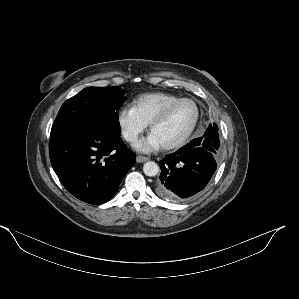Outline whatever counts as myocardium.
<instances>
[{"label": "myocardium", "instance_id": "f54148a6", "mask_svg": "<svg viewBox=\"0 0 299 299\" xmlns=\"http://www.w3.org/2000/svg\"><path fill=\"white\" fill-rule=\"evenodd\" d=\"M182 102H191L196 110L195 113V117L193 120L192 125L190 126V128L176 141L169 143L167 145L162 146L163 150H173V149H177L179 147H181L193 134V132L195 131L199 119H200V115H201V110H200V106L197 103L196 100L189 98V97H183V98H179L169 104H167L149 123V131L152 132V130L161 122H163L168 115L170 114V112L177 107L179 104H181Z\"/></svg>", "mask_w": 299, "mask_h": 299}]
</instances>
